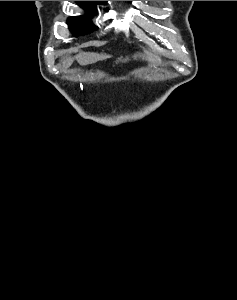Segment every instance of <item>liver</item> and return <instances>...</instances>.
<instances>
[{
	"instance_id": "1",
	"label": "liver",
	"mask_w": 237,
	"mask_h": 300,
	"mask_svg": "<svg viewBox=\"0 0 237 300\" xmlns=\"http://www.w3.org/2000/svg\"><path fill=\"white\" fill-rule=\"evenodd\" d=\"M79 65H92V63H97V61H104V59H110V55H98V53H78L75 57ZM65 69L71 67L73 59L71 57H65L64 61Z\"/></svg>"
}]
</instances>
